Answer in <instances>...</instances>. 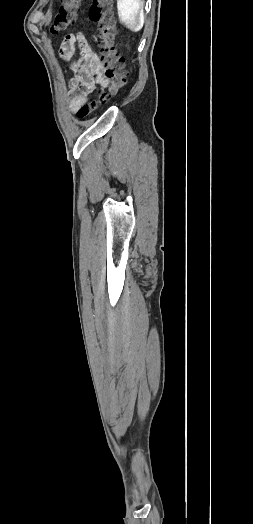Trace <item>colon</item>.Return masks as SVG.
Segmentation results:
<instances>
[{
    "label": "colon",
    "instance_id": "1",
    "mask_svg": "<svg viewBox=\"0 0 253 524\" xmlns=\"http://www.w3.org/2000/svg\"><path fill=\"white\" fill-rule=\"evenodd\" d=\"M79 5L80 0H62V5L50 28V32L53 35L65 31L74 23ZM112 8L113 0H93V4L89 10L90 19L98 25L100 55L104 62V76L108 80V87L101 88L97 91L98 101H104L115 95L127 84L124 60L114 46L116 28ZM92 111V104H84L78 109L77 116L80 119H84L87 118Z\"/></svg>",
    "mask_w": 253,
    "mask_h": 524
}]
</instances>
